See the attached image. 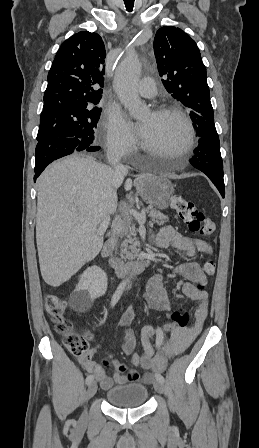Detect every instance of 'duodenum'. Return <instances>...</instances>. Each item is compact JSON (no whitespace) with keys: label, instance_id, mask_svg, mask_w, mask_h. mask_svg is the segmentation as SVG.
I'll list each match as a JSON object with an SVG mask.
<instances>
[{"label":"duodenum","instance_id":"410a0bca","mask_svg":"<svg viewBox=\"0 0 259 448\" xmlns=\"http://www.w3.org/2000/svg\"><path fill=\"white\" fill-rule=\"evenodd\" d=\"M115 246V239L110 238L104 245L102 256L109 259V265L114 270L118 278L127 279L143 272L147 267L145 258L137 259L131 263H123L117 259L110 258V254Z\"/></svg>","mask_w":259,"mask_h":448}]
</instances>
